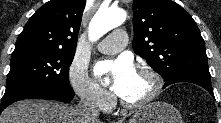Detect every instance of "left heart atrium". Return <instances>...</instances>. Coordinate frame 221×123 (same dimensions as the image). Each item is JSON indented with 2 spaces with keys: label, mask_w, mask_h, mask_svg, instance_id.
<instances>
[{
  "label": "left heart atrium",
  "mask_w": 221,
  "mask_h": 123,
  "mask_svg": "<svg viewBox=\"0 0 221 123\" xmlns=\"http://www.w3.org/2000/svg\"><path fill=\"white\" fill-rule=\"evenodd\" d=\"M94 73L98 77L110 75L112 78V90L117 95H120L128 81L136 73V70L128 58H118L98 63L94 68Z\"/></svg>",
  "instance_id": "39dd6f15"
}]
</instances>
